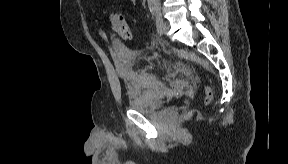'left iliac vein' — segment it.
<instances>
[{"instance_id":"left-iliac-vein-1","label":"left iliac vein","mask_w":288,"mask_h":164,"mask_svg":"<svg viewBox=\"0 0 288 164\" xmlns=\"http://www.w3.org/2000/svg\"><path fill=\"white\" fill-rule=\"evenodd\" d=\"M169 29L167 21H165L162 17L158 18V33L160 35L165 34Z\"/></svg>"}]
</instances>
